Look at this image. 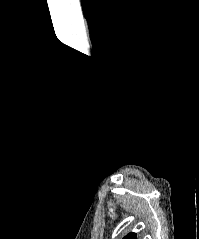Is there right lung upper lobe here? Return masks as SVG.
I'll return each mask as SVG.
<instances>
[{
  "instance_id": "1",
  "label": "right lung upper lobe",
  "mask_w": 199,
  "mask_h": 239,
  "mask_svg": "<svg viewBox=\"0 0 199 239\" xmlns=\"http://www.w3.org/2000/svg\"><path fill=\"white\" fill-rule=\"evenodd\" d=\"M123 239H137V238L136 234L131 232L128 235H126Z\"/></svg>"
}]
</instances>
